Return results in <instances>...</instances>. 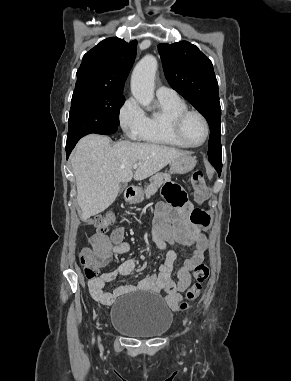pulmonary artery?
Returning <instances> with one entry per match:
<instances>
[{
    "label": "pulmonary artery",
    "instance_id": "pulmonary-artery-1",
    "mask_svg": "<svg viewBox=\"0 0 291 381\" xmlns=\"http://www.w3.org/2000/svg\"><path fill=\"white\" fill-rule=\"evenodd\" d=\"M177 93L174 89L167 86H159L157 89V97L161 98H173L176 97Z\"/></svg>",
    "mask_w": 291,
    "mask_h": 381
}]
</instances>
